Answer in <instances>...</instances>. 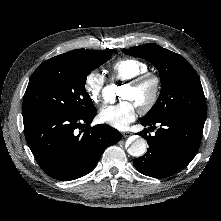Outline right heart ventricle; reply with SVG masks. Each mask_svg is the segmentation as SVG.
<instances>
[{
	"mask_svg": "<svg viewBox=\"0 0 221 221\" xmlns=\"http://www.w3.org/2000/svg\"><path fill=\"white\" fill-rule=\"evenodd\" d=\"M148 64L136 58H120L110 66V74L114 81H127L148 71Z\"/></svg>",
	"mask_w": 221,
	"mask_h": 221,
	"instance_id": "obj_1",
	"label": "right heart ventricle"
}]
</instances>
